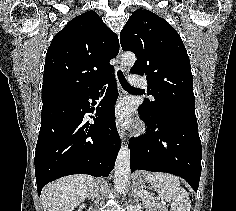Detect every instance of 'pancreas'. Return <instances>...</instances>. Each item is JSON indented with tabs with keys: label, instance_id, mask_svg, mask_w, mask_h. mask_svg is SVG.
<instances>
[{
	"label": "pancreas",
	"instance_id": "cf45deb5",
	"mask_svg": "<svg viewBox=\"0 0 236 211\" xmlns=\"http://www.w3.org/2000/svg\"><path fill=\"white\" fill-rule=\"evenodd\" d=\"M141 200L143 201V204H145V206H147L148 208H153V207H157L160 208L159 203H157L154 198H152L151 196H149L148 194H144L141 196Z\"/></svg>",
	"mask_w": 236,
	"mask_h": 211
}]
</instances>
